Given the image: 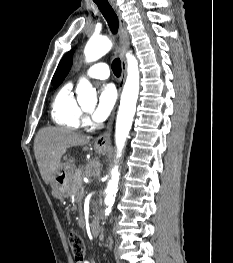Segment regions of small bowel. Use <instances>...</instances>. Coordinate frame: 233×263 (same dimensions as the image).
<instances>
[{
	"label": "small bowel",
	"mask_w": 233,
	"mask_h": 263,
	"mask_svg": "<svg viewBox=\"0 0 233 263\" xmlns=\"http://www.w3.org/2000/svg\"><path fill=\"white\" fill-rule=\"evenodd\" d=\"M81 263H90L89 260H83Z\"/></svg>",
	"instance_id": "1"
}]
</instances>
